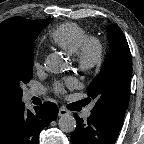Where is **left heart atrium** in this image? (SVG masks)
Returning a JSON list of instances; mask_svg holds the SVG:
<instances>
[{"mask_svg": "<svg viewBox=\"0 0 144 144\" xmlns=\"http://www.w3.org/2000/svg\"><path fill=\"white\" fill-rule=\"evenodd\" d=\"M73 85V80L67 79L65 83H57L56 84V91L60 94H64L66 91V87H71Z\"/></svg>", "mask_w": 144, "mask_h": 144, "instance_id": "obj_1", "label": "left heart atrium"}]
</instances>
